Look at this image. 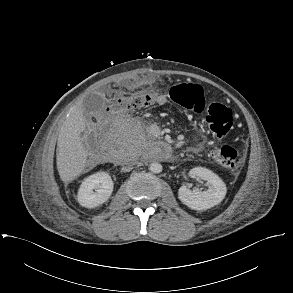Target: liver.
<instances>
[{
	"label": "liver",
	"instance_id": "liver-1",
	"mask_svg": "<svg viewBox=\"0 0 293 293\" xmlns=\"http://www.w3.org/2000/svg\"><path fill=\"white\" fill-rule=\"evenodd\" d=\"M85 128L81 102L70 111L58 135L56 163L63 182L73 181L84 171L87 164L88 152L82 144L81 138Z\"/></svg>",
	"mask_w": 293,
	"mask_h": 293
}]
</instances>
